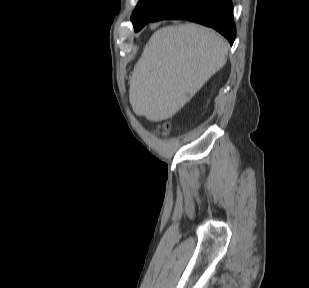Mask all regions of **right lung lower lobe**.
I'll list each match as a JSON object with an SVG mask.
<instances>
[{
	"label": "right lung lower lobe",
	"mask_w": 309,
	"mask_h": 288,
	"mask_svg": "<svg viewBox=\"0 0 309 288\" xmlns=\"http://www.w3.org/2000/svg\"><path fill=\"white\" fill-rule=\"evenodd\" d=\"M183 19L214 28L225 36L232 45L236 29L231 0H177L157 13L153 21Z\"/></svg>",
	"instance_id": "98d812e1"
}]
</instances>
